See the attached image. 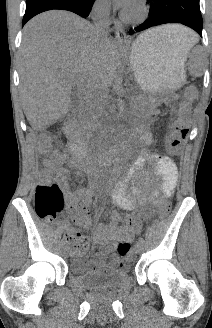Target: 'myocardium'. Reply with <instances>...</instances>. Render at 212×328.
Masks as SVG:
<instances>
[{"label": "myocardium", "mask_w": 212, "mask_h": 328, "mask_svg": "<svg viewBox=\"0 0 212 328\" xmlns=\"http://www.w3.org/2000/svg\"><path fill=\"white\" fill-rule=\"evenodd\" d=\"M149 8L144 0H135L133 5L124 12L123 19L128 23H138L144 20Z\"/></svg>", "instance_id": "1"}]
</instances>
